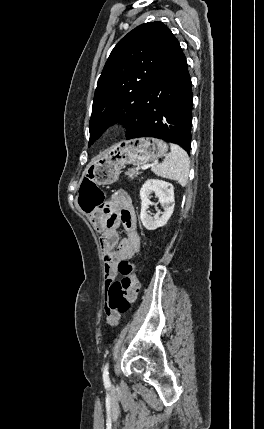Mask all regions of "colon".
Here are the masks:
<instances>
[{
  "label": "colon",
  "instance_id": "1",
  "mask_svg": "<svg viewBox=\"0 0 264 429\" xmlns=\"http://www.w3.org/2000/svg\"><path fill=\"white\" fill-rule=\"evenodd\" d=\"M79 204L87 213L96 210H103L106 212L115 210L114 205L106 202V197L102 189L89 180L81 184ZM134 270V263L130 260H123L119 263L118 271L121 278L106 285L105 310L107 312L116 314L125 313L136 300L139 291V283Z\"/></svg>",
  "mask_w": 264,
  "mask_h": 429
}]
</instances>
